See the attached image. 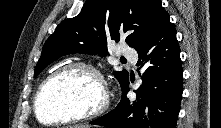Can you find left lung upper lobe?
Returning a JSON list of instances; mask_svg holds the SVG:
<instances>
[{"mask_svg": "<svg viewBox=\"0 0 221 128\" xmlns=\"http://www.w3.org/2000/svg\"><path fill=\"white\" fill-rule=\"evenodd\" d=\"M166 15L161 0H86L80 14L63 20L47 39L34 77L70 53L106 55L107 43L111 40H125L137 49ZM114 75L121 88L129 81L126 70Z\"/></svg>", "mask_w": 221, "mask_h": 128, "instance_id": "obj_1", "label": "left lung upper lobe"}]
</instances>
